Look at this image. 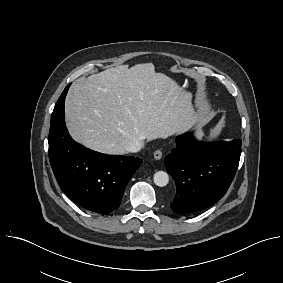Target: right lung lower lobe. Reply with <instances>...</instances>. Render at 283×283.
<instances>
[{"mask_svg": "<svg viewBox=\"0 0 283 283\" xmlns=\"http://www.w3.org/2000/svg\"><path fill=\"white\" fill-rule=\"evenodd\" d=\"M69 86L59 97L51 116L48 140L51 167L69 198L90 211L108 214L119 207L124 190L142 159L102 154L75 142L64 120Z\"/></svg>", "mask_w": 283, "mask_h": 283, "instance_id": "obj_1", "label": "right lung lower lobe"}]
</instances>
